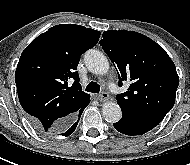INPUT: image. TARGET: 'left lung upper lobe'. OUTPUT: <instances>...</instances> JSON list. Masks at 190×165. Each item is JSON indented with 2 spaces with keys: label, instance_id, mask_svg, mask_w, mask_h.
I'll return each mask as SVG.
<instances>
[{
  "label": "left lung upper lobe",
  "instance_id": "5c2ea615",
  "mask_svg": "<svg viewBox=\"0 0 190 165\" xmlns=\"http://www.w3.org/2000/svg\"><path fill=\"white\" fill-rule=\"evenodd\" d=\"M100 45L117 70L119 86L128 91L116 96L122 111L164 118L175 103L179 77L166 51L134 31H105Z\"/></svg>",
  "mask_w": 190,
  "mask_h": 165
}]
</instances>
